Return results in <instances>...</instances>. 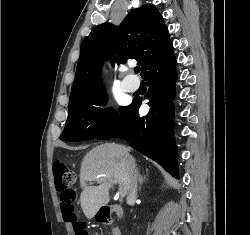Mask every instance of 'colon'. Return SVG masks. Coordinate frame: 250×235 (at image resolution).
I'll use <instances>...</instances> for the list:
<instances>
[{"mask_svg":"<svg viewBox=\"0 0 250 235\" xmlns=\"http://www.w3.org/2000/svg\"><path fill=\"white\" fill-rule=\"evenodd\" d=\"M53 172L55 185L60 192V207L64 220L72 225L75 235H88L85 223L78 219L75 212L76 194L71 188L77 180L74 168L63 161H57Z\"/></svg>","mask_w":250,"mask_h":235,"instance_id":"obj_1","label":"colon"}]
</instances>
